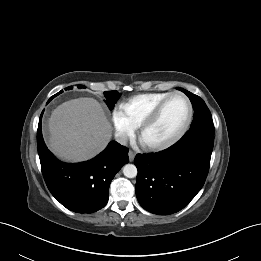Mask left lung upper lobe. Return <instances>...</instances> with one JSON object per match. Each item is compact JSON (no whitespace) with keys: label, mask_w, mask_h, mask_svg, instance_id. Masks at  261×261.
<instances>
[{"label":"left lung upper lobe","mask_w":261,"mask_h":261,"mask_svg":"<svg viewBox=\"0 0 261 261\" xmlns=\"http://www.w3.org/2000/svg\"><path fill=\"white\" fill-rule=\"evenodd\" d=\"M182 92H184L190 99L193 109L195 111L193 115V122L191 124L190 129H208V130H215L211 113L206 106L203 99H201L199 96L183 89V88H176Z\"/></svg>","instance_id":"5c2ea615"}]
</instances>
